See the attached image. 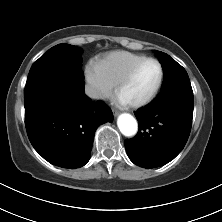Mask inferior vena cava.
<instances>
[{
  "label": "inferior vena cava",
  "mask_w": 222,
  "mask_h": 222,
  "mask_svg": "<svg viewBox=\"0 0 222 222\" xmlns=\"http://www.w3.org/2000/svg\"><path fill=\"white\" fill-rule=\"evenodd\" d=\"M85 93L87 96L93 99L98 98L100 96V93L98 92V90H96L94 87L90 85L85 86Z\"/></svg>",
  "instance_id": "inferior-vena-cava-1"
}]
</instances>
